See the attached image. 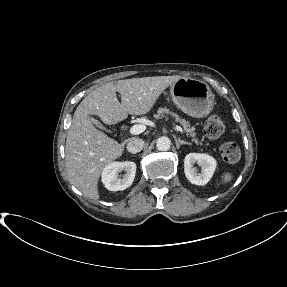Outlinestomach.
<instances>
[{"label":"stomach","mask_w":287,"mask_h":287,"mask_svg":"<svg viewBox=\"0 0 287 287\" xmlns=\"http://www.w3.org/2000/svg\"><path fill=\"white\" fill-rule=\"evenodd\" d=\"M170 95L177 107L192 117H205L214 107V94L198 79L180 78L170 86Z\"/></svg>","instance_id":"stomach-1"}]
</instances>
